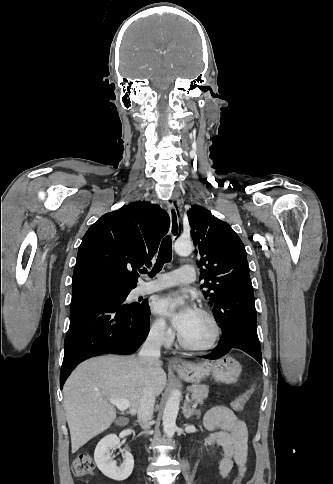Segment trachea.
I'll return each instance as SVG.
<instances>
[{
    "label": "trachea",
    "mask_w": 333,
    "mask_h": 484,
    "mask_svg": "<svg viewBox=\"0 0 333 484\" xmlns=\"http://www.w3.org/2000/svg\"><path fill=\"white\" fill-rule=\"evenodd\" d=\"M172 259V241L170 236H166L160 245L158 257L156 263L149 273L150 277L155 276L163 267L165 263L170 262ZM143 273H147V270H144Z\"/></svg>",
    "instance_id": "trachea-1"
}]
</instances>
